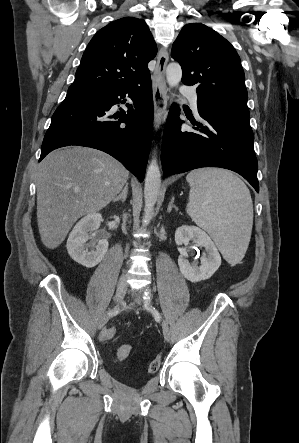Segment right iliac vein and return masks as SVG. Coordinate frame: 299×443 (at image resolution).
Listing matches in <instances>:
<instances>
[{
  "instance_id": "right-iliac-vein-1",
  "label": "right iliac vein",
  "mask_w": 299,
  "mask_h": 443,
  "mask_svg": "<svg viewBox=\"0 0 299 443\" xmlns=\"http://www.w3.org/2000/svg\"><path fill=\"white\" fill-rule=\"evenodd\" d=\"M126 290H127V283L125 278H122L119 280L117 284L116 299H115L116 303H119L122 300L123 296L126 293ZM109 319L110 315L108 314V312L103 314L99 320V325H98L99 329L103 328Z\"/></svg>"
}]
</instances>
